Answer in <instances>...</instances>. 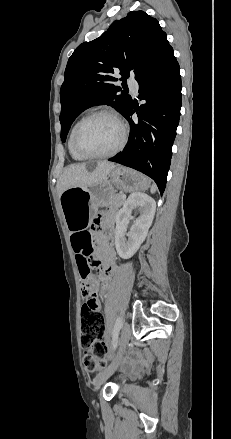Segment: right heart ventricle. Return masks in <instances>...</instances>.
I'll use <instances>...</instances> for the list:
<instances>
[{
    "label": "right heart ventricle",
    "mask_w": 231,
    "mask_h": 439,
    "mask_svg": "<svg viewBox=\"0 0 231 439\" xmlns=\"http://www.w3.org/2000/svg\"><path fill=\"white\" fill-rule=\"evenodd\" d=\"M76 125V124H75ZM75 125L72 127L70 135H69V139H68V150L70 152V155L72 156L73 159L81 161L84 160L85 158L82 157L80 154H78L72 147V142H71V135H72V131L75 127Z\"/></svg>",
    "instance_id": "1"
}]
</instances>
